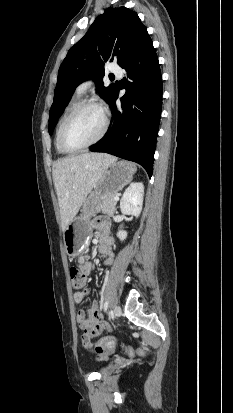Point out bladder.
Listing matches in <instances>:
<instances>
[{
	"instance_id": "31cf9c89",
	"label": "bladder",
	"mask_w": 233,
	"mask_h": 413,
	"mask_svg": "<svg viewBox=\"0 0 233 413\" xmlns=\"http://www.w3.org/2000/svg\"><path fill=\"white\" fill-rule=\"evenodd\" d=\"M115 371V365L113 364H108L104 366L102 369H100V374L101 375H110Z\"/></svg>"
}]
</instances>
